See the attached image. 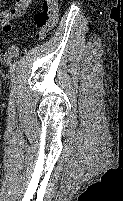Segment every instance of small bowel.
Instances as JSON below:
<instances>
[{"label":"small bowel","mask_w":123,"mask_h":201,"mask_svg":"<svg viewBox=\"0 0 123 201\" xmlns=\"http://www.w3.org/2000/svg\"><path fill=\"white\" fill-rule=\"evenodd\" d=\"M32 0H15L14 5L9 10L0 12V26L4 32L12 29V22L21 17L31 5Z\"/></svg>","instance_id":"small-bowel-1"}]
</instances>
